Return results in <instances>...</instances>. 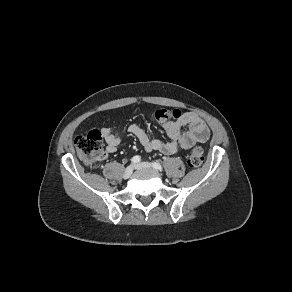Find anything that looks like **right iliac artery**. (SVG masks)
<instances>
[{
  "mask_svg": "<svg viewBox=\"0 0 292 292\" xmlns=\"http://www.w3.org/2000/svg\"><path fill=\"white\" fill-rule=\"evenodd\" d=\"M133 164L139 163L141 161V157L136 155L131 159Z\"/></svg>",
  "mask_w": 292,
  "mask_h": 292,
  "instance_id": "82829eb1",
  "label": "right iliac artery"
}]
</instances>
